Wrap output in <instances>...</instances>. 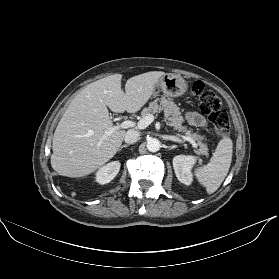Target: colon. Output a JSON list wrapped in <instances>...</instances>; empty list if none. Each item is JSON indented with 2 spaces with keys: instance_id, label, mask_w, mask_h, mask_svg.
I'll use <instances>...</instances> for the list:
<instances>
[{
  "instance_id": "1",
  "label": "colon",
  "mask_w": 279,
  "mask_h": 279,
  "mask_svg": "<svg viewBox=\"0 0 279 279\" xmlns=\"http://www.w3.org/2000/svg\"><path fill=\"white\" fill-rule=\"evenodd\" d=\"M191 91L198 97L199 108L202 113L208 115L215 133L220 137L227 136L231 124L227 112L222 109L220 98L214 92L205 89L202 82H195Z\"/></svg>"
}]
</instances>
